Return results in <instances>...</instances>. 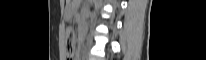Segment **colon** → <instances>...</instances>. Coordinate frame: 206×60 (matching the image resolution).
Listing matches in <instances>:
<instances>
[{"label": "colon", "mask_w": 206, "mask_h": 60, "mask_svg": "<svg viewBox=\"0 0 206 60\" xmlns=\"http://www.w3.org/2000/svg\"><path fill=\"white\" fill-rule=\"evenodd\" d=\"M66 45H67V60H73L74 47H75V35L71 25L66 28Z\"/></svg>", "instance_id": "colon-1"}]
</instances>
